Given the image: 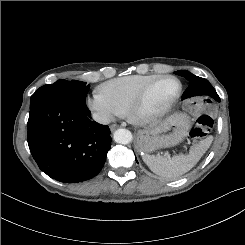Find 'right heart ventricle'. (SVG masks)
I'll use <instances>...</instances> for the list:
<instances>
[{"instance_id":"obj_1","label":"right heart ventricle","mask_w":245,"mask_h":245,"mask_svg":"<svg viewBox=\"0 0 245 245\" xmlns=\"http://www.w3.org/2000/svg\"><path fill=\"white\" fill-rule=\"evenodd\" d=\"M160 76L156 74L124 76L101 84L99 91L126 114L142 88Z\"/></svg>"}]
</instances>
